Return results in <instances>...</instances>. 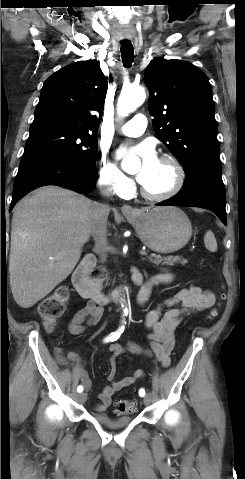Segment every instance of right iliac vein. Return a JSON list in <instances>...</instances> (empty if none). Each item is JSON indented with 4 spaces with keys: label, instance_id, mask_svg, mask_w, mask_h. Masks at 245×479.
Returning a JSON list of instances; mask_svg holds the SVG:
<instances>
[{
    "label": "right iliac vein",
    "instance_id": "63e3f726",
    "mask_svg": "<svg viewBox=\"0 0 245 479\" xmlns=\"http://www.w3.org/2000/svg\"><path fill=\"white\" fill-rule=\"evenodd\" d=\"M77 399H78L79 403H84L86 401V394L85 393H80L79 395H77Z\"/></svg>",
    "mask_w": 245,
    "mask_h": 479
}]
</instances>
